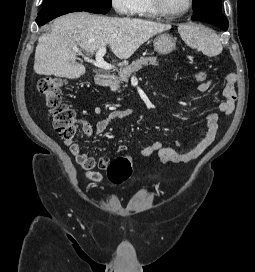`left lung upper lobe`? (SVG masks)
Returning a JSON list of instances; mask_svg holds the SVG:
<instances>
[{"label":"left lung upper lobe","instance_id":"5c2ea615","mask_svg":"<svg viewBox=\"0 0 255 272\" xmlns=\"http://www.w3.org/2000/svg\"><path fill=\"white\" fill-rule=\"evenodd\" d=\"M194 2V12L214 8L221 11L222 0H192Z\"/></svg>","mask_w":255,"mask_h":272}]
</instances>
